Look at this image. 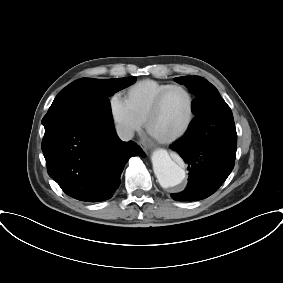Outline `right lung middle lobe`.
I'll list each match as a JSON object with an SVG mask.
<instances>
[{
  "label": "right lung middle lobe",
  "mask_w": 283,
  "mask_h": 283,
  "mask_svg": "<svg viewBox=\"0 0 283 283\" xmlns=\"http://www.w3.org/2000/svg\"><path fill=\"white\" fill-rule=\"evenodd\" d=\"M135 77L118 79H78L66 86L54 99L42 119L46 128L61 121L113 124L108 97L133 84Z\"/></svg>",
  "instance_id": "obj_1"
}]
</instances>
